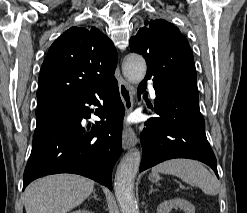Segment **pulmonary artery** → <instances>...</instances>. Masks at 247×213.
Here are the masks:
<instances>
[{
  "instance_id": "e3ab8cb5",
  "label": "pulmonary artery",
  "mask_w": 247,
  "mask_h": 213,
  "mask_svg": "<svg viewBox=\"0 0 247 213\" xmlns=\"http://www.w3.org/2000/svg\"><path fill=\"white\" fill-rule=\"evenodd\" d=\"M149 92H150V96L152 99H155L156 98V93H155V90L152 86L149 87Z\"/></svg>"
}]
</instances>
